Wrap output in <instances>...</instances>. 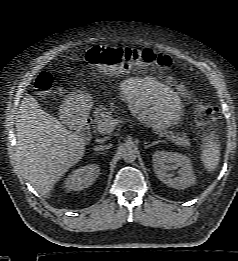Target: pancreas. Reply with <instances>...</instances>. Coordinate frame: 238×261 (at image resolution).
Segmentation results:
<instances>
[{"mask_svg": "<svg viewBox=\"0 0 238 261\" xmlns=\"http://www.w3.org/2000/svg\"><path fill=\"white\" fill-rule=\"evenodd\" d=\"M114 112L113 106L107 108L104 105H100L94 111V124L95 128L98 130V126L104 121L108 116H111ZM153 131L159 137H165L168 141L173 142L175 145L188 148L190 146L189 138L186 134L175 133L171 130H167L161 126H156L153 128Z\"/></svg>", "mask_w": 238, "mask_h": 261, "instance_id": "pancreas-1", "label": "pancreas"}]
</instances>
